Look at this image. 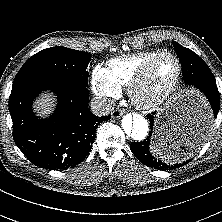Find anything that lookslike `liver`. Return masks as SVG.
I'll use <instances>...</instances> for the list:
<instances>
[{
	"label": "liver",
	"instance_id": "liver-1",
	"mask_svg": "<svg viewBox=\"0 0 222 222\" xmlns=\"http://www.w3.org/2000/svg\"><path fill=\"white\" fill-rule=\"evenodd\" d=\"M55 98L51 94H43L36 102L35 109L39 115H46L52 111Z\"/></svg>",
	"mask_w": 222,
	"mask_h": 222
}]
</instances>
